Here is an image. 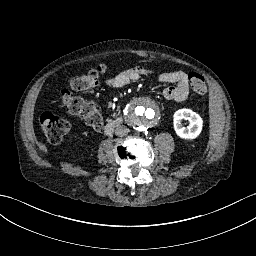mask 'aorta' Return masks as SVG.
<instances>
[{
  "label": "aorta",
  "instance_id": "aorta-1",
  "mask_svg": "<svg viewBox=\"0 0 256 256\" xmlns=\"http://www.w3.org/2000/svg\"><path fill=\"white\" fill-rule=\"evenodd\" d=\"M129 116L133 124L141 128H146L154 124L158 116V111L154 103L146 99H141L133 103L129 111Z\"/></svg>",
  "mask_w": 256,
  "mask_h": 256
}]
</instances>
